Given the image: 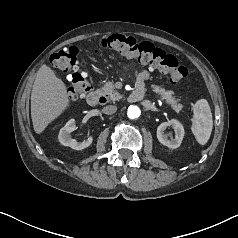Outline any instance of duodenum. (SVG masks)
Masks as SVG:
<instances>
[{
	"label": "duodenum",
	"mask_w": 238,
	"mask_h": 238,
	"mask_svg": "<svg viewBox=\"0 0 238 238\" xmlns=\"http://www.w3.org/2000/svg\"><path fill=\"white\" fill-rule=\"evenodd\" d=\"M144 96V87L141 85L136 86V88L129 94L127 100L129 102H138ZM87 103L90 106H96L100 103H105L106 98L102 93L99 92H90L86 98Z\"/></svg>",
	"instance_id": "410a0bca"
}]
</instances>
